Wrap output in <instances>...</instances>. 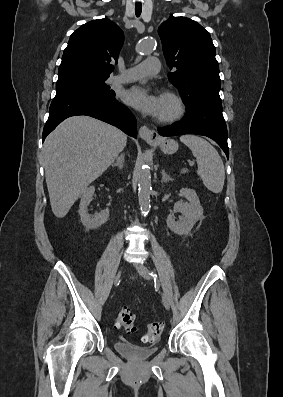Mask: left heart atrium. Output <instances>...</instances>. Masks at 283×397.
I'll return each instance as SVG.
<instances>
[{
    "mask_svg": "<svg viewBox=\"0 0 283 397\" xmlns=\"http://www.w3.org/2000/svg\"><path fill=\"white\" fill-rule=\"evenodd\" d=\"M123 101L150 116H158L161 108V97L149 93L141 86H133L126 89L122 94Z\"/></svg>",
    "mask_w": 283,
    "mask_h": 397,
    "instance_id": "39dd6f15",
    "label": "left heart atrium"
}]
</instances>
